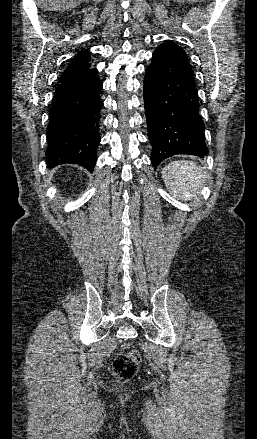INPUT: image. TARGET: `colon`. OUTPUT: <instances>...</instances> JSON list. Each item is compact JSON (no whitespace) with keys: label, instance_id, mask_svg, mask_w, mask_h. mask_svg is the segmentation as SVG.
<instances>
[{"label":"colon","instance_id":"1","mask_svg":"<svg viewBox=\"0 0 257 439\" xmlns=\"http://www.w3.org/2000/svg\"><path fill=\"white\" fill-rule=\"evenodd\" d=\"M141 362V355L136 349L118 354L113 361V371L122 380L133 378Z\"/></svg>","mask_w":257,"mask_h":439}]
</instances>
